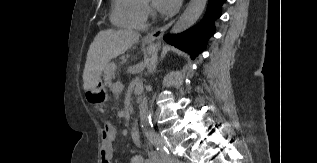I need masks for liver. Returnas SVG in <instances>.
Returning <instances> with one entry per match:
<instances>
[{
  "label": "liver",
  "mask_w": 317,
  "mask_h": 163,
  "mask_svg": "<svg viewBox=\"0 0 317 163\" xmlns=\"http://www.w3.org/2000/svg\"><path fill=\"white\" fill-rule=\"evenodd\" d=\"M140 34L128 30L100 31L87 52L83 71L84 90L89 91L101 80L102 71L109 61L123 54L137 43Z\"/></svg>",
  "instance_id": "obj_1"
}]
</instances>
